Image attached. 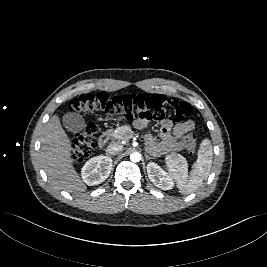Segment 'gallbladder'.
Segmentation results:
<instances>
[{
	"label": "gallbladder",
	"mask_w": 267,
	"mask_h": 267,
	"mask_svg": "<svg viewBox=\"0 0 267 267\" xmlns=\"http://www.w3.org/2000/svg\"><path fill=\"white\" fill-rule=\"evenodd\" d=\"M63 126L67 131L77 133L85 129L84 118L76 112H68L62 118Z\"/></svg>",
	"instance_id": "gallbladder-1"
}]
</instances>
